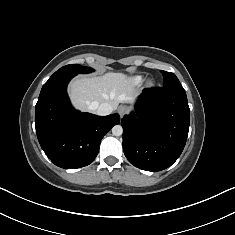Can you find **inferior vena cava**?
<instances>
[{"label": "inferior vena cava", "mask_w": 235, "mask_h": 235, "mask_svg": "<svg viewBox=\"0 0 235 235\" xmlns=\"http://www.w3.org/2000/svg\"><path fill=\"white\" fill-rule=\"evenodd\" d=\"M90 109L94 110L97 115H101V116L109 115L113 111L112 106L110 104H108V103H102L100 105L92 103L90 105Z\"/></svg>", "instance_id": "inferior-vena-cava-1"}]
</instances>
